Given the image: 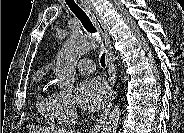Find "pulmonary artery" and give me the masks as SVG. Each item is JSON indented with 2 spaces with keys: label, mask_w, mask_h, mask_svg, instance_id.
Wrapping results in <instances>:
<instances>
[{
  "label": "pulmonary artery",
  "mask_w": 184,
  "mask_h": 133,
  "mask_svg": "<svg viewBox=\"0 0 184 133\" xmlns=\"http://www.w3.org/2000/svg\"><path fill=\"white\" fill-rule=\"evenodd\" d=\"M77 69L81 73L91 74L95 71V64L90 59H82L78 62Z\"/></svg>",
  "instance_id": "1"
}]
</instances>
